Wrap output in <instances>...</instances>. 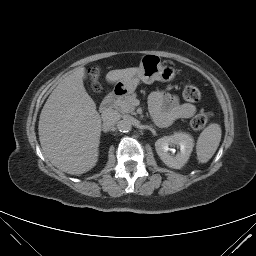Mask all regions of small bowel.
Wrapping results in <instances>:
<instances>
[{
  "instance_id": "obj_1",
  "label": "small bowel",
  "mask_w": 256,
  "mask_h": 256,
  "mask_svg": "<svg viewBox=\"0 0 256 256\" xmlns=\"http://www.w3.org/2000/svg\"><path fill=\"white\" fill-rule=\"evenodd\" d=\"M149 108L159 126H168L179 118H190L196 112L193 104L182 103L176 95L164 91H155L150 95Z\"/></svg>"
}]
</instances>
